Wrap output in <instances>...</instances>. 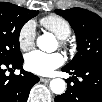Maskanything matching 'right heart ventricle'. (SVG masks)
Masks as SVG:
<instances>
[{"mask_svg":"<svg viewBox=\"0 0 102 102\" xmlns=\"http://www.w3.org/2000/svg\"><path fill=\"white\" fill-rule=\"evenodd\" d=\"M41 25L53 33L59 40L67 39L72 34L70 23L61 16L48 15L40 20Z\"/></svg>","mask_w":102,"mask_h":102,"instance_id":"obj_1","label":"right heart ventricle"}]
</instances>
